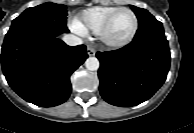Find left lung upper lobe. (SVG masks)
I'll list each match as a JSON object with an SVG mask.
<instances>
[{
    "mask_svg": "<svg viewBox=\"0 0 194 133\" xmlns=\"http://www.w3.org/2000/svg\"><path fill=\"white\" fill-rule=\"evenodd\" d=\"M132 10L136 14L139 22V26L146 24L148 22L156 20L147 10L131 6Z\"/></svg>",
    "mask_w": 194,
    "mask_h": 133,
    "instance_id": "obj_1",
    "label": "left lung upper lobe"
}]
</instances>
